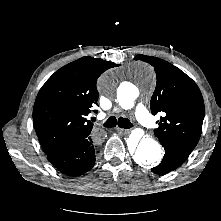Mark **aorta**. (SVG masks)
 I'll return each instance as SVG.
<instances>
[{
    "label": "aorta",
    "instance_id": "1",
    "mask_svg": "<svg viewBox=\"0 0 221 221\" xmlns=\"http://www.w3.org/2000/svg\"><path fill=\"white\" fill-rule=\"evenodd\" d=\"M135 70L144 75L147 79L153 80L155 75L151 66L146 63H137ZM101 89L104 93L110 94L115 87V79L111 75H105L100 81ZM137 98L135 89H124L117 91V99L124 109H130ZM161 157V146L152 138L143 137L134 151L133 159L140 166L146 167L157 163Z\"/></svg>",
    "mask_w": 221,
    "mask_h": 221
}]
</instances>
